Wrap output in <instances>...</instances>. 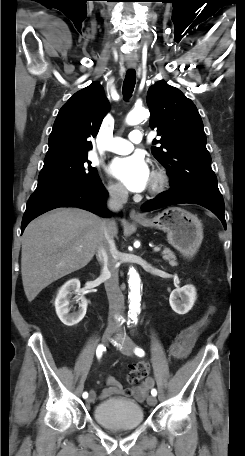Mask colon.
I'll return each instance as SVG.
<instances>
[{"label":"colon","mask_w":245,"mask_h":456,"mask_svg":"<svg viewBox=\"0 0 245 456\" xmlns=\"http://www.w3.org/2000/svg\"><path fill=\"white\" fill-rule=\"evenodd\" d=\"M149 373V365L146 362H140L131 368L129 372V381L131 383H139Z\"/></svg>","instance_id":"obj_1"}]
</instances>
